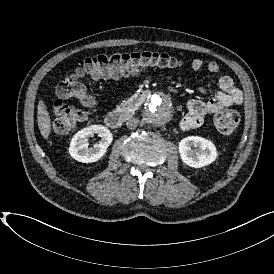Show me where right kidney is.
I'll return each instance as SVG.
<instances>
[{"label":"right kidney","mask_w":274,"mask_h":274,"mask_svg":"<svg viewBox=\"0 0 274 274\" xmlns=\"http://www.w3.org/2000/svg\"><path fill=\"white\" fill-rule=\"evenodd\" d=\"M97 134L101 140L88 147V139ZM113 141L110 130L103 125H91L78 131L72 138L69 147L71 157L82 163H92L98 161L107 151Z\"/></svg>","instance_id":"ca27d5eb"}]
</instances>
